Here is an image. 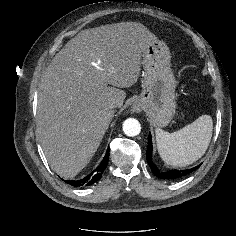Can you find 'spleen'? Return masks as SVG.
Segmentation results:
<instances>
[{
    "label": "spleen",
    "instance_id": "spleen-1",
    "mask_svg": "<svg viewBox=\"0 0 236 236\" xmlns=\"http://www.w3.org/2000/svg\"><path fill=\"white\" fill-rule=\"evenodd\" d=\"M211 116L202 115L193 123L173 133L160 128L155 130L159 155L173 166H187L201 158L212 137Z\"/></svg>",
    "mask_w": 236,
    "mask_h": 236
}]
</instances>
